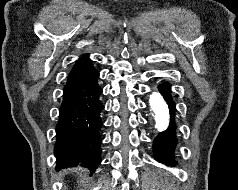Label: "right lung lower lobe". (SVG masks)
<instances>
[{"instance_id":"1","label":"right lung lower lobe","mask_w":238,"mask_h":190,"mask_svg":"<svg viewBox=\"0 0 238 190\" xmlns=\"http://www.w3.org/2000/svg\"><path fill=\"white\" fill-rule=\"evenodd\" d=\"M99 72L90 60L83 62L68 75L63 90L56 126V169L79 164L95 171L101 162L102 88L98 85Z\"/></svg>"}]
</instances>
